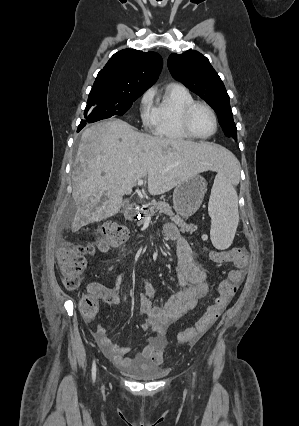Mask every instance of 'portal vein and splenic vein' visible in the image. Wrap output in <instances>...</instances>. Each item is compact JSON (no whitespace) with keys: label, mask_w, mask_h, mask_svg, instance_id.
Here are the masks:
<instances>
[{"label":"portal vein and splenic vein","mask_w":299,"mask_h":426,"mask_svg":"<svg viewBox=\"0 0 299 426\" xmlns=\"http://www.w3.org/2000/svg\"><path fill=\"white\" fill-rule=\"evenodd\" d=\"M137 184H138L139 186H142V185L144 184V181H143L142 179H140V180H138V181H137Z\"/></svg>","instance_id":"portal-vein-and-splenic-vein-1"}]
</instances>
